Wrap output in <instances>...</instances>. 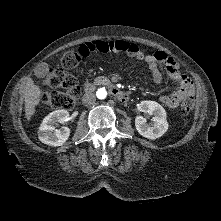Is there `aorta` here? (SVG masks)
Here are the masks:
<instances>
[{
  "mask_svg": "<svg viewBox=\"0 0 221 221\" xmlns=\"http://www.w3.org/2000/svg\"><path fill=\"white\" fill-rule=\"evenodd\" d=\"M97 98L105 99L107 96V91L104 88H100L96 92Z\"/></svg>",
  "mask_w": 221,
  "mask_h": 221,
  "instance_id": "obj_1",
  "label": "aorta"
}]
</instances>
